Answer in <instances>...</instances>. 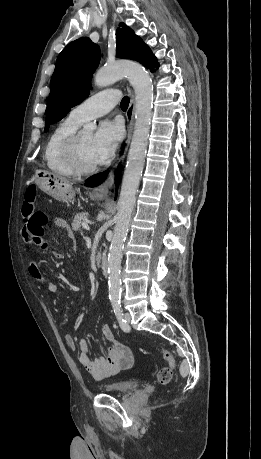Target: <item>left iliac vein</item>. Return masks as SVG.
I'll use <instances>...</instances> for the list:
<instances>
[{
  "label": "left iliac vein",
  "instance_id": "4c4485c4",
  "mask_svg": "<svg viewBox=\"0 0 261 459\" xmlns=\"http://www.w3.org/2000/svg\"><path fill=\"white\" fill-rule=\"evenodd\" d=\"M125 320H126L127 323H130V321H131V315H130V313H128V312L125 313Z\"/></svg>",
  "mask_w": 261,
  "mask_h": 459
}]
</instances>
